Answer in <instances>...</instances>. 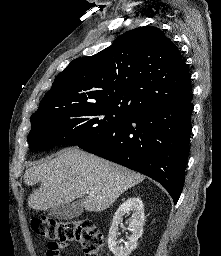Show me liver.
<instances>
[{
	"label": "liver",
	"instance_id": "obj_1",
	"mask_svg": "<svg viewBox=\"0 0 221 256\" xmlns=\"http://www.w3.org/2000/svg\"><path fill=\"white\" fill-rule=\"evenodd\" d=\"M143 180L144 177L134 171L76 147L34 164L24 175L28 186L40 183L28 197L29 207L38 211L81 198L86 211L100 212Z\"/></svg>",
	"mask_w": 221,
	"mask_h": 256
}]
</instances>
